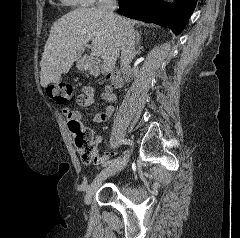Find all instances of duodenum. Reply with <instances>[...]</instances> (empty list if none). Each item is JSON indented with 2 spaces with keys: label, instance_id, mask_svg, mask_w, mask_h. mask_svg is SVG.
Here are the masks:
<instances>
[{
  "label": "duodenum",
  "instance_id": "duodenum-1",
  "mask_svg": "<svg viewBox=\"0 0 240 238\" xmlns=\"http://www.w3.org/2000/svg\"><path fill=\"white\" fill-rule=\"evenodd\" d=\"M85 67H86L87 71L92 75L97 76L100 73V65L93 58H86L85 59Z\"/></svg>",
  "mask_w": 240,
  "mask_h": 238
}]
</instances>
